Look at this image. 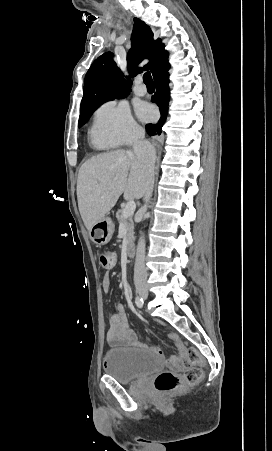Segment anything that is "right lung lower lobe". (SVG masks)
Listing matches in <instances>:
<instances>
[{
    "instance_id": "98d812e1",
    "label": "right lung lower lobe",
    "mask_w": 272,
    "mask_h": 451,
    "mask_svg": "<svg viewBox=\"0 0 272 451\" xmlns=\"http://www.w3.org/2000/svg\"><path fill=\"white\" fill-rule=\"evenodd\" d=\"M170 65L166 60L161 64L153 74V78L156 85V93L152 96L151 101L159 106L161 117L160 120L155 124H147L146 131L150 136L160 135L162 132V127L166 122L168 113V103L170 98L169 92V73L168 70Z\"/></svg>"
}]
</instances>
